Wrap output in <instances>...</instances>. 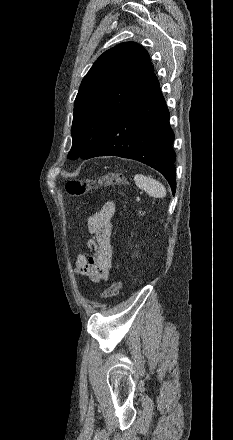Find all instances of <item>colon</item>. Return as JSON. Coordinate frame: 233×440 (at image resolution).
Wrapping results in <instances>:
<instances>
[{"mask_svg": "<svg viewBox=\"0 0 233 440\" xmlns=\"http://www.w3.org/2000/svg\"><path fill=\"white\" fill-rule=\"evenodd\" d=\"M128 178L123 173H117L113 175H101L96 178L82 179V180H69L65 184V190L71 197H79L87 193L88 191L98 188L113 185H127ZM122 286L120 280H115L101 295L102 299H110L115 297Z\"/></svg>", "mask_w": 233, "mask_h": 440, "instance_id": "colon-1", "label": "colon"}]
</instances>
